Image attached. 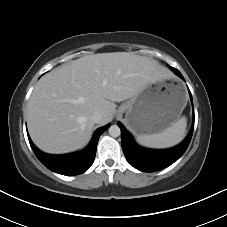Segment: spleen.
<instances>
[{"label": "spleen", "instance_id": "3e777b00", "mask_svg": "<svg viewBox=\"0 0 227 227\" xmlns=\"http://www.w3.org/2000/svg\"><path fill=\"white\" fill-rule=\"evenodd\" d=\"M186 117H181L171 127L157 134H142L137 136V142L150 148H169L180 143L186 132Z\"/></svg>", "mask_w": 227, "mask_h": 227}]
</instances>
